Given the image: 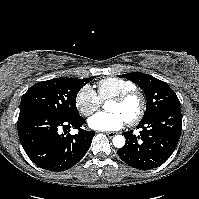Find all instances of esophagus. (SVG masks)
Segmentation results:
<instances>
[{
    "label": "esophagus",
    "mask_w": 199,
    "mask_h": 199,
    "mask_svg": "<svg viewBox=\"0 0 199 199\" xmlns=\"http://www.w3.org/2000/svg\"><path fill=\"white\" fill-rule=\"evenodd\" d=\"M105 134L108 136V137H113V136H115L117 133H115V132H105Z\"/></svg>",
    "instance_id": "esophagus-1"
}]
</instances>
